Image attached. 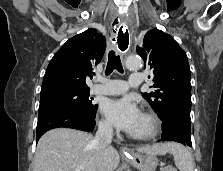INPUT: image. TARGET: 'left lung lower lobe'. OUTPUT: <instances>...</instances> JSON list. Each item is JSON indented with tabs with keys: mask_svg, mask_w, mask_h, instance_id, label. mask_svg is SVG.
<instances>
[{
	"mask_svg": "<svg viewBox=\"0 0 223 171\" xmlns=\"http://www.w3.org/2000/svg\"><path fill=\"white\" fill-rule=\"evenodd\" d=\"M190 123L191 119L181 113L169 114L162 121L163 135L161 141H175L191 147Z\"/></svg>",
	"mask_w": 223,
	"mask_h": 171,
	"instance_id": "left-lung-lower-lobe-1",
	"label": "left lung lower lobe"
}]
</instances>
